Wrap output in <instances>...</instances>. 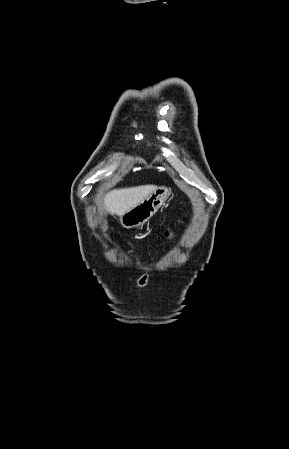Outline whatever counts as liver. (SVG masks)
<instances>
[{"mask_svg": "<svg viewBox=\"0 0 289 449\" xmlns=\"http://www.w3.org/2000/svg\"><path fill=\"white\" fill-rule=\"evenodd\" d=\"M154 185L116 189L105 195L103 204L111 215L121 216L125 212L140 204L155 190Z\"/></svg>", "mask_w": 289, "mask_h": 449, "instance_id": "obj_1", "label": "liver"}]
</instances>
